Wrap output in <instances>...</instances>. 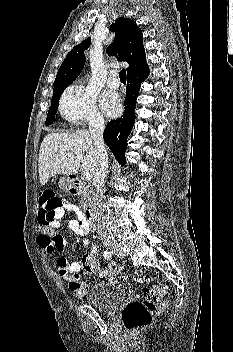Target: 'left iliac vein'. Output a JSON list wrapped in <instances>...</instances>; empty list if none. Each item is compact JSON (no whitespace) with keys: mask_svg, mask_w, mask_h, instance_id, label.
<instances>
[{"mask_svg":"<svg viewBox=\"0 0 233 352\" xmlns=\"http://www.w3.org/2000/svg\"><path fill=\"white\" fill-rule=\"evenodd\" d=\"M112 252L119 258H123L125 256L124 251L119 247H114Z\"/></svg>","mask_w":233,"mask_h":352,"instance_id":"left-iliac-vein-1","label":"left iliac vein"}]
</instances>
